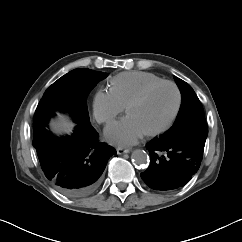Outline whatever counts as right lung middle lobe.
Here are the masks:
<instances>
[{
    "mask_svg": "<svg viewBox=\"0 0 242 242\" xmlns=\"http://www.w3.org/2000/svg\"><path fill=\"white\" fill-rule=\"evenodd\" d=\"M107 76L90 69H75L54 82L44 93L34 115L33 129L46 125L56 111L67 112L76 123H88L86 95Z\"/></svg>",
    "mask_w": 242,
    "mask_h": 242,
    "instance_id": "dd1d6c3e",
    "label": "right lung middle lobe"
}]
</instances>
